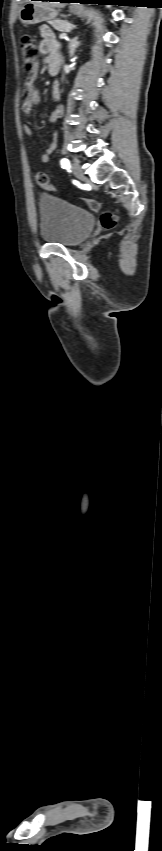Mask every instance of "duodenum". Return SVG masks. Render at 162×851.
Wrapping results in <instances>:
<instances>
[{
  "label": "duodenum",
  "instance_id": "duodenum-1",
  "mask_svg": "<svg viewBox=\"0 0 162 851\" xmlns=\"http://www.w3.org/2000/svg\"><path fill=\"white\" fill-rule=\"evenodd\" d=\"M59 66H60V62H59L58 60L50 59V60L48 61V70H49V73H50L52 76L56 75V74L58 73V71H59Z\"/></svg>",
  "mask_w": 162,
  "mask_h": 851
}]
</instances>
